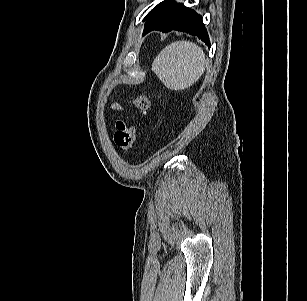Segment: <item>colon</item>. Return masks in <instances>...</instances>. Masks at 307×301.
<instances>
[{"mask_svg": "<svg viewBox=\"0 0 307 301\" xmlns=\"http://www.w3.org/2000/svg\"><path fill=\"white\" fill-rule=\"evenodd\" d=\"M136 115L130 119H118L114 141L124 153H128L136 138L137 124L139 120L148 114L150 108L149 98L144 94H138L133 101Z\"/></svg>", "mask_w": 307, "mask_h": 301, "instance_id": "obj_1", "label": "colon"}]
</instances>
